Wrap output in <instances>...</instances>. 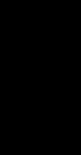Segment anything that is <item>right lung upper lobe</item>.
Returning a JSON list of instances; mask_svg holds the SVG:
<instances>
[{
	"label": "right lung upper lobe",
	"mask_w": 81,
	"mask_h": 155,
	"mask_svg": "<svg viewBox=\"0 0 81 155\" xmlns=\"http://www.w3.org/2000/svg\"><path fill=\"white\" fill-rule=\"evenodd\" d=\"M34 48L5 40L0 47V120L9 125L18 120L35 100L24 68Z\"/></svg>",
	"instance_id": "right-lung-upper-lobe-1"
}]
</instances>
